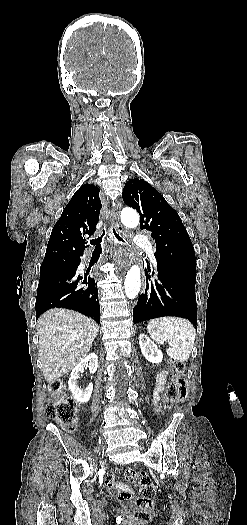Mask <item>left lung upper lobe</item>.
I'll return each mask as SVG.
<instances>
[{
	"label": "left lung upper lobe",
	"instance_id": "left-lung-upper-lobe-1",
	"mask_svg": "<svg viewBox=\"0 0 247 525\" xmlns=\"http://www.w3.org/2000/svg\"><path fill=\"white\" fill-rule=\"evenodd\" d=\"M124 202L137 210L140 228L156 241L157 264L196 273L195 252L178 213L143 179H130L123 189Z\"/></svg>",
	"mask_w": 247,
	"mask_h": 525
}]
</instances>
